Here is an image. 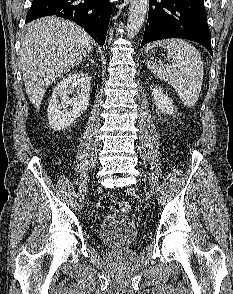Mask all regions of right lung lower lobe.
Here are the masks:
<instances>
[{
  "mask_svg": "<svg viewBox=\"0 0 233 294\" xmlns=\"http://www.w3.org/2000/svg\"><path fill=\"white\" fill-rule=\"evenodd\" d=\"M112 6L109 0H33L26 21L56 15L83 27L100 45H104Z\"/></svg>",
  "mask_w": 233,
  "mask_h": 294,
  "instance_id": "1",
  "label": "right lung lower lobe"
}]
</instances>
